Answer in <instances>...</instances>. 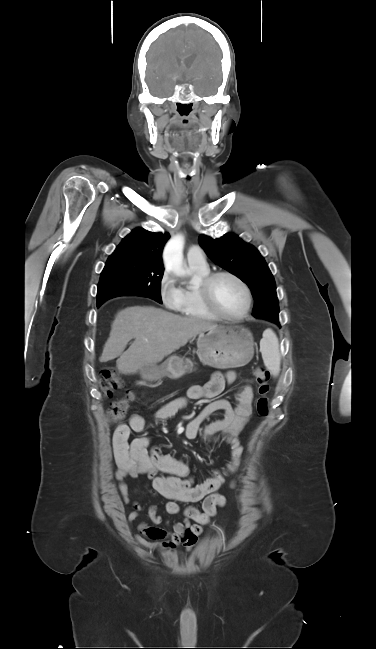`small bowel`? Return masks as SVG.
I'll return each instance as SVG.
<instances>
[{"instance_id": "1", "label": "small bowel", "mask_w": 376, "mask_h": 649, "mask_svg": "<svg viewBox=\"0 0 376 649\" xmlns=\"http://www.w3.org/2000/svg\"><path fill=\"white\" fill-rule=\"evenodd\" d=\"M236 378L237 375L233 371L216 372L205 384L191 386L186 397L175 398L161 406L153 414V418L156 421H165L184 409L190 400L215 398L227 383H233ZM252 404L253 389L250 384L245 383L237 394L235 407L225 399H214L186 424L185 436L194 439L205 419L216 412L222 414L220 419L204 428L202 441L227 443L230 447V460L223 469L215 471L212 477L201 483L194 482L186 463L163 454L158 447H151L148 437L142 436L130 441L131 432H141L145 428L146 420L142 415L133 414L127 424L122 423L115 428L112 435L116 467L114 478L119 483L118 490L122 501L125 504L131 503L127 480L144 475L151 481L153 492L168 500L166 512L169 515L183 516L180 522H170L159 514L156 506H151L148 509L151 521L155 525L164 522L171 530L140 522L137 526L138 533L134 536L140 545L151 550H164L166 555H172L178 545L190 550L196 544L204 526L216 515L217 507L226 504L225 497L216 492L225 483L226 477L235 473L240 466L243 447L239 435L251 417ZM159 473L166 475L162 476ZM200 501L202 511L193 506H181L182 503ZM131 504L132 511L128 515L130 524L139 517L142 510L138 502L134 501Z\"/></svg>"}]
</instances>
